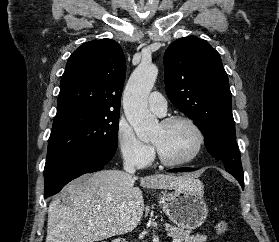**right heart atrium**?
Returning <instances> with one entry per match:
<instances>
[{
  "instance_id": "d8ad5b80",
  "label": "right heart atrium",
  "mask_w": 279,
  "mask_h": 242,
  "mask_svg": "<svg viewBox=\"0 0 279 242\" xmlns=\"http://www.w3.org/2000/svg\"><path fill=\"white\" fill-rule=\"evenodd\" d=\"M116 143L122 160L129 166L143 168L153 159L152 147L136 136L125 119H120L117 124Z\"/></svg>"
}]
</instances>
